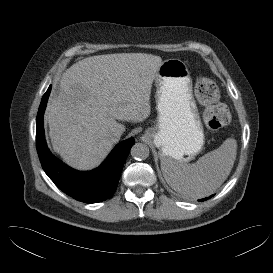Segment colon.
<instances>
[{"label": "colon", "instance_id": "colon-1", "mask_svg": "<svg viewBox=\"0 0 273 273\" xmlns=\"http://www.w3.org/2000/svg\"><path fill=\"white\" fill-rule=\"evenodd\" d=\"M195 95L199 102L205 105L203 120L210 132L223 128L229 121L228 109L218 104L219 89L210 79L201 77L195 81Z\"/></svg>", "mask_w": 273, "mask_h": 273}]
</instances>
